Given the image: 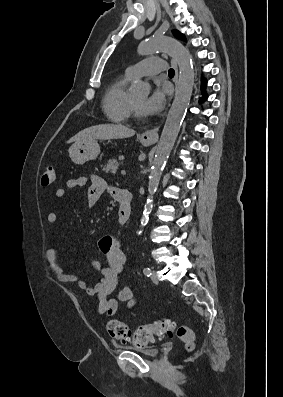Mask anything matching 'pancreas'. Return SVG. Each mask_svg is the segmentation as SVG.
Wrapping results in <instances>:
<instances>
[{"mask_svg": "<svg viewBox=\"0 0 283 397\" xmlns=\"http://www.w3.org/2000/svg\"><path fill=\"white\" fill-rule=\"evenodd\" d=\"M119 167V162L116 159H110L107 164L104 165L103 170L112 174H116Z\"/></svg>", "mask_w": 283, "mask_h": 397, "instance_id": "pancreas-1", "label": "pancreas"}]
</instances>
